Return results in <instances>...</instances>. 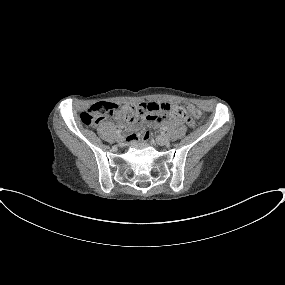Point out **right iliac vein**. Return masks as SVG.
<instances>
[{
  "label": "right iliac vein",
  "instance_id": "63e3f726",
  "mask_svg": "<svg viewBox=\"0 0 285 285\" xmlns=\"http://www.w3.org/2000/svg\"><path fill=\"white\" fill-rule=\"evenodd\" d=\"M117 142L120 143V144H123L124 142V137L121 136V135H118L117 138H116Z\"/></svg>",
  "mask_w": 285,
  "mask_h": 285
}]
</instances>
